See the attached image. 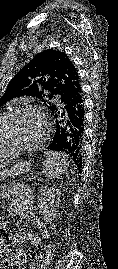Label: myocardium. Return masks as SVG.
I'll list each match as a JSON object with an SVG mask.
<instances>
[{
	"label": "myocardium",
	"instance_id": "myocardium-1",
	"mask_svg": "<svg viewBox=\"0 0 118 269\" xmlns=\"http://www.w3.org/2000/svg\"><path fill=\"white\" fill-rule=\"evenodd\" d=\"M26 112H35L37 113L41 119L44 122L45 125V129H44V133L42 135V137L34 142V143H23V142H18V141H9L7 143H5L4 141V136H3V132L5 130V128L7 127V125L17 116L26 113ZM49 120L47 118V116L45 115V113L40 110L39 108H37L34 105L31 104H26V105H22L19 108H16L14 110H11L10 112L6 113L5 116L3 117V119L0 121V149L2 152L4 153H21V152H26V151H32L40 146H42L45 141H46V137L48 135L49 132Z\"/></svg>",
	"mask_w": 118,
	"mask_h": 269
}]
</instances>
